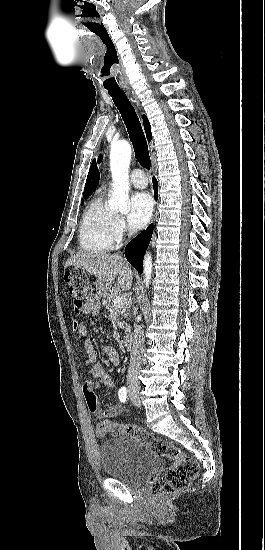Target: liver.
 Returning a JSON list of instances; mask_svg holds the SVG:
<instances>
[{
	"label": "liver",
	"instance_id": "obj_1",
	"mask_svg": "<svg viewBox=\"0 0 265 550\" xmlns=\"http://www.w3.org/2000/svg\"><path fill=\"white\" fill-rule=\"evenodd\" d=\"M68 266H76L88 271L98 279V289L107 293L115 277L117 288L130 290L132 287L133 272L128 263L118 254L104 252L79 253L71 256L65 263Z\"/></svg>",
	"mask_w": 265,
	"mask_h": 550
}]
</instances>
